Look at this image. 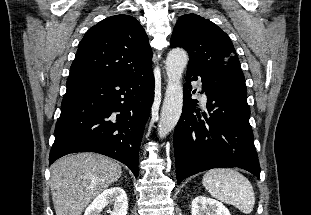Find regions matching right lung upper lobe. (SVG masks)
Listing matches in <instances>:
<instances>
[{"label": "right lung upper lobe", "instance_id": "1", "mask_svg": "<svg viewBox=\"0 0 311 215\" xmlns=\"http://www.w3.org/2000/svg\"><path fill=\"white\" fill-rule=\"evenodd\" d=\"M152 50L140 23L130 15H114L92 26L78 45L69 78L128 77L152 68Z\"/></svg>", "mask_w": 311, "mask_h": 215}]
</instances>
